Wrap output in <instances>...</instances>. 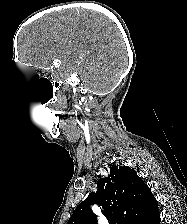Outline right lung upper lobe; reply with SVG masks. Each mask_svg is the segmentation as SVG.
I'll list each match as a JSON object with an SVG mask.
<instances>
[{
    "instance_id": "right-lung-upper-lobe-1",
    "label": "right lung upper lobe",
    "mask_w": 187,
    "mask_h": 224,
    "mask_svg": "<svg viewBox=\"0 0 187 224\" xmlns=\"http://www.w3.org/2000/svg\"><path fill=\"white\" fill-rule=\"evenodd\" d=\"M97 186V192L77 206L67 224H97L91 204L102 206V213L113 224H135L158 209L147 184L127 166H112L110 175L100 178Z\"/></svg>"
}]
</instances>
